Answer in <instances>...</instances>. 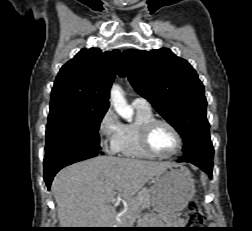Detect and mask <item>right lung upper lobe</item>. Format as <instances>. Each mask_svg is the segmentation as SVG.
Wrapping results in <instances>:
<instances>
[{
    "instance_id": "cb5924a9",
    "label": "right lung upper lobe",
    "mask_w": 252,
    "mask_h": 231,
    "mask_svg": "<svg viewBox=\"0 0 252 231\" xmlns=\"http://www.w3.org/2000/svg\"><path fill=\"white\" fill-rule=\"evenodd\" d=\"M120 52L98 48L81 49L60 69L51 91V101L66 100L85 106H109V92Z\"/></svg>"
}]
</instances>
